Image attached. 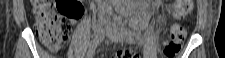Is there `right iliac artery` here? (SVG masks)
Returning a JSON list of instances; mask_svg holds the SVG:
<instances>
[{
	"mask_svg": "<svg viewBox=\"0 0 225 58\" xmlns=\"http://www.w3.org/2000/svg\"><path fill=\"white\" fill-rule=\"evenodd\" d=\"M96 47H97V44H94V42H91L90 47L87 52V55H86V58L93 57Z\"/></svg>",
	"mask_w": 225,
	"mask_h": 58,
	"instance_id": "right-iliac-artery-1",
	"label": "right iliac artery"
}]
</instances>
